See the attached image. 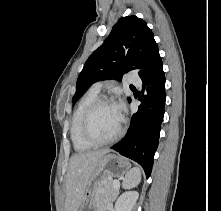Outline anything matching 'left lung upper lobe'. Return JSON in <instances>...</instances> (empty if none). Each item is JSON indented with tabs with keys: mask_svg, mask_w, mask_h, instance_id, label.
Segmentation results:
<instances>
[{
	"mask_svg": "<svg viewBox=\"0 0 221 211\" xmlns=\"http://www.w3.org/2000/svg\"><path fill=\"white\" fill-rule=\"evenodd\" d=\"M158 51L154 35L142 19L134 15L121 18L107 40L86 61L72 102L97 81L120 80L124 73L130 71H137L140 75Z\"/></svg>",
	"mask_w": 221,
	"mask_h": 211,
	"instance_id": "5c2ea615",
	"label": "left lung upper lobe"
}]
</instances>
